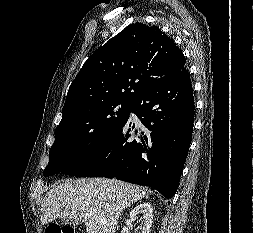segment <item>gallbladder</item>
Returning a JSON list of instances; mask_svg holds the SVG:
<instances>
[{"mask_svg":"<svg viewBox=\"0 0 253 233\" xmlns=\"http://www.w3.org/2000/svg\"><path fill=\"white\" fill-rule=\"evenodd\" d=\"M72 222L75 223V224H81V223H82L81 220H80V221H73V220H72Z\"/></svg>","mask_w":253,"mask_h":233,"instance_id":"obj_1","label":"gallbladder"}]
</instances>
